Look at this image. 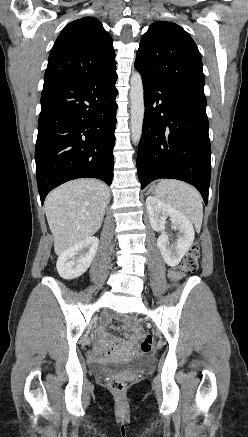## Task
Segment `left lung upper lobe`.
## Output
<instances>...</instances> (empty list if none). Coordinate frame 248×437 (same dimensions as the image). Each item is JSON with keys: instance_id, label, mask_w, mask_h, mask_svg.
<instances>
[{"instance_id": "1", "label": "left lung upper lobe", "mask_w": 248, "mask_h": 437, "mask_svg": "<svg viewBox=\"0 0 248 437\" xmlns=\"http://www.w3.org/2000/svg\"><path fill=\"white\" fill-rule=\"evenodd\" d=\"M134 67L142 77L180 91L205 96L201 54L179 25L156 21L143 35Z\"/></svg>"}]
</instances>
